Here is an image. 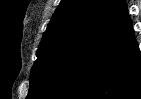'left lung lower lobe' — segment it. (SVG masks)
Returning <instances> with one entry per match:
<instances>
[{"label":"left lung lower lobe","instance_id":"left-lung-lower-lobe-1","mask_svg":"<svg viewBox=\"0 0 141 99\" xmlns=\"http://www.w3.org/2000/svg\"><path fill=\"white\" fill-rule=\"evenodd\" d=\"M141 54L124 2L37 99H141Z\"/></svg>","mask_w":141,"mask_h":99}]
</instances>
